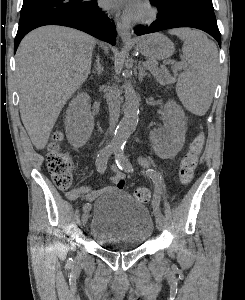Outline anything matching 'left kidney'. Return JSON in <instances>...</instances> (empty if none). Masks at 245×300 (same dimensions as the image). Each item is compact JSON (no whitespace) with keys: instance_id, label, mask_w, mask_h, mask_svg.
I'll list each match as a JSON object with an SVG mask.
<instances>
[{"instance_id":"left-kidney-1","label":"left kidney","mask_w":245,"mask_h":300,"mask_svg":"<svg viewBox=\"0 0 245 300\" xmlns=\"http://www.w3.org/2000/svg\"><path fill=\"white\" fill-rule=\"evenodd\" d=\"M164 128L151 132L155 150L162 156L173 157L183 147L186 133V117L182 108L174 101L164 107Z\"/></svg>"}]
</instances>
